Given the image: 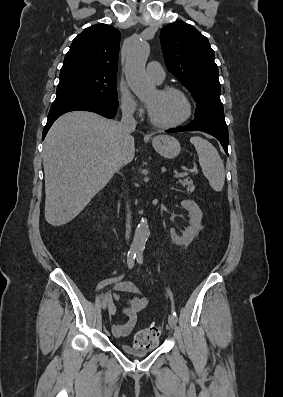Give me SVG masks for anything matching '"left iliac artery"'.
<instances>
[{
    "instance_id": "obj_1",
    "label": "left iliac artery",
    "mask_w": 283,
    "mask_h": 397,
    "mask_svg": "<svg viewBox=\"0 0 283 397\" xmlns=\"http://www.w3.org/2000/svg\"><path fill=\"white\" fill-rule=\"evenodd\" d=\"M136 260L139 264L143 263V252L142 251H138L137 255H136ZM170 298H171V302H172V313L175 316L176 320H178L176 312H175V307H174V303H173V296L170 290H168Z\"/></svg>"
}]
</instances>
